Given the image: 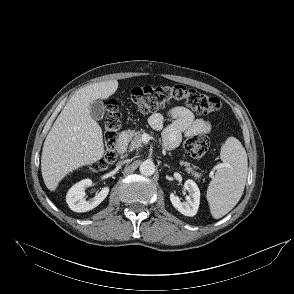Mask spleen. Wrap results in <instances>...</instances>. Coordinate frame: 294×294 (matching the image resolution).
<instances>
[{
	"label": "spleen",
	"instance_id": "spleen-1",
	"mask_svg": "<svg viewBox=\"0 0 294 294\" xmlns=\"http://www.w3.org/2000/svg\"><path fill=\"white\" fill-rule=\"evenodd\" d=\"M221 167L216 171L207 190L211 214L218 219L231 211L240 200L247 178V154L234 137H229L221 148Z\"/></svg>",
	"mask_w": 294,
	"mask_h": 294
}]
</instances>
